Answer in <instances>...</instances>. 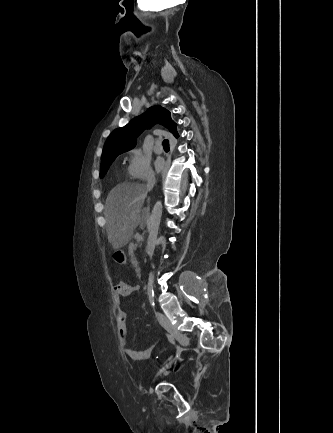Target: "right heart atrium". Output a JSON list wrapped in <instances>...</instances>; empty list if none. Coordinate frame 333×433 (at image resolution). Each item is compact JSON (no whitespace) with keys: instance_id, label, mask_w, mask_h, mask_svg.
<instances>
[{"instance_id":"obj_1","label":"right heart atrium","mask_w":333,"mask_h":433,"mask_svg":"<svg viewBox=\"0 0 333 433\" xmlns=\"http://www.w3.org/2000/svg\"><path fill=\"white\" fill-rule=\"evenodd\" d=\"M127 170L129 175L134 179L145 180L154 177V171L150 159L139 149L134 148L128 153Z\"/></svg>"}]
</instances>
